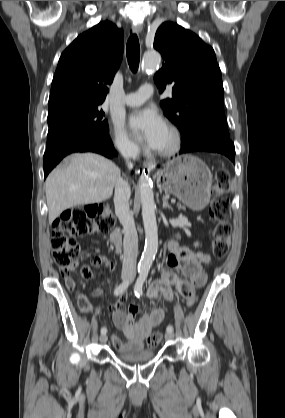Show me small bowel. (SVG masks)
I'll list each match as a JSON object with an SVG mask.
<instances>
[{"instance_id":"1","label":"small bowel","mask_w":285,"mask_h":418,"mask_svg":"<svg viewBox=\"0 0 285 418\" xmlns=\"http://www.w3.org/2000/svg\"><path fill=\"white\" fill-rule=\"evenodd\" d=\"M168 248L170 254L162 262L161 275L149 284L147 295L153 302L162 303L164 299H173L175 293H179L187 302H192L196 298L197 291L206 284L207 275L203 271L201 263L207 262L208 257L188 248L178 247L174 241L168 243ZM204 259L205 261H203ZM103 260L110 272L116 270L115 265L107 258L104 257ZM182 263L184 266H181ZM77 264V261L73 262L72 268ZM65 283L68 288L74 287L70 272L66 273ZM96 293H99V290ZM124 299V295L121 294L118 301L112 305V312L116 326L128 338L129 343L122 342L117 335H112L111 341L116 350L121 352L132 349L140 350L152 329L163 321L166 308L164 305H160L151 312L142 313L136 319L138 308L131 305L127 312L124 311L122 309ZM78 303L83 312L91 311L92 306L88 298L86 302L78 299Z\"/></svg>"}]
</instances>
